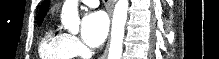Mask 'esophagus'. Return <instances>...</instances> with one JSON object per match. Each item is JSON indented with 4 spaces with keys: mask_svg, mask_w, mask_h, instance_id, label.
<instances>
[{
    "mask_svg": "<svg viewBox=\"0 0 219 59\" xmlns=\"http://www.w3.org/2000/svg\"><path fill=\"white\" fill-rule=\"evenodd\" d=\"M114 2H115V0H109V3H108V13H109L110 17L112 16V7H113ZM108 50H109V43L107 44V47H106L101 59H106L107 54H108Z\"/></svg>",
    "mask_w": 219,
    "mask_h": 59,
    "instance_id": "obj_1",
    "label": "esophagus"
}]
</instances>
